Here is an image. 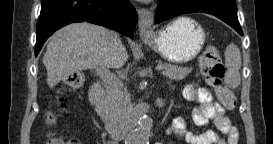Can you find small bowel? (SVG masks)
Returning <instances> with one entry per match:
<instances>
[{"instance_id":"c3829d8e","label":"small bowel","mask_w":273,"mask_h":144,"mask_svg":"<svg viewBox=\"0 0 273 144\" xmlns=\"http://www.w3.org/2000/svg\"><path fill=\"white\" fill-rule=\"evenodd\" d=\"M184 97L189 101L198 102V106L192 113L194 124L197 127H205L212 123L215 129L192 133L187 129L184 118L178 116L172 121L169 128L170 133L186 144H222L225 139L229 144L237 143V129L226 116L225 108L213 99L209 89L194 83L185 89Z\"/></svg>"}]
</instances>
